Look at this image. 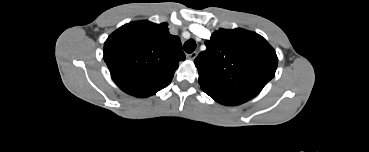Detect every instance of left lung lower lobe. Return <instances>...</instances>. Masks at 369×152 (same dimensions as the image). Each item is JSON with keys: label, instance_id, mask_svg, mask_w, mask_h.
Masks as SVG:
<instances>
[{"label": "left lung lower lobe", "instance_id": "1", "mask_svg": "<svg viewBox=\"0 0 369 152\" xmlns=\"http://www.w3.org/2000/svg\"><path fill=\"white\" fill-rule=\"evenodd\" d=\"M205 93H207L210 97H212L216 102L224 104V105H228V106H235V105H239V104H242L248 101L246 99L236 97V96H231V95H225V94L213 93V92H205Z\"/></svg>", "mask_w": 369, "mask_h": 152}]
</instances>
